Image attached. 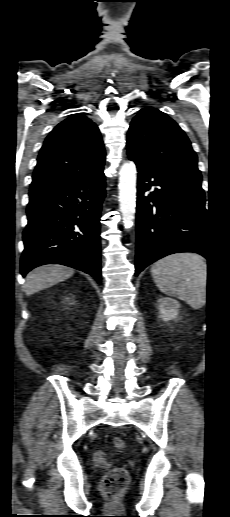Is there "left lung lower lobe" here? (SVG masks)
Wrapping results in <instances>:
<instances>
[{"instance_id": "left-lung-lower-lobe-1", "label": "left lung lower lobe", "mask_w": 230, "mask_h": 517, "mask_svg": "<svg viewBox=\"0 0 230 517\" xmlns=\"http://www.w3.org/2000/svg\"><path fill=\"white\" fill-rule=\"evenodd\" d=\"M129 159L135 162L139 172L135 275L173 253L195 252L209 260L201 180L161 172ZM149 190L152 191L145 196Z\"/></svg>"}]
</instances>
